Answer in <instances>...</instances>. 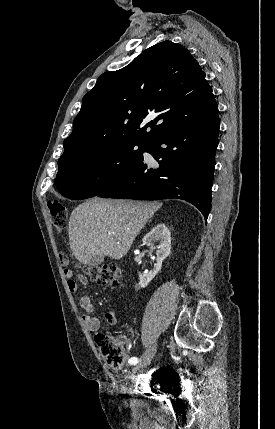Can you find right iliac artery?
Here are the masks:
<instances>
[{
	"mask_svg": "<svg viewBox=\"0 0 275 429\" xmlns=\"http://www.w3.org/2000/svg\"><path fill=\"white\" fill-rule=\"evenodd\" d=\"M138 358L137 357H132V358H130V360H129V363L130 364H132V365H135V364H137L138 363Z\"/></svg>",
	"mask_w": 275,
	"mask_h": 429,
	"instance_id": "obj_1",
	"label": "right iliac artery"
}]
</instances>
